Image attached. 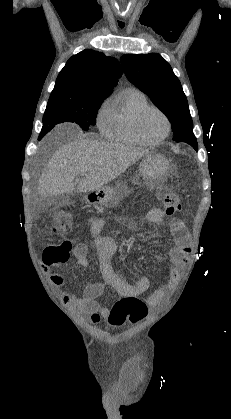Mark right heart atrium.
Masks as SVG:
<instances>
[{
	"label": "right heart atrium",
	"instance_id": "right-heart-atrium-1",
	"mask_svg": "<svg viewBox=\"0 0 231 419\" xmlns=\"http://www.w3.org/2000/svg\"><path fill=\"white\" fill-rule=\"evenodd\" d=\"M110 99H106L100 106L97 116L96 122L97 126L101 133L106 134L107 129L110 124L111 114H110Z\"/></svg>",
	"mask_w": 231,
	"mask_h": 419
}]
</instances>
